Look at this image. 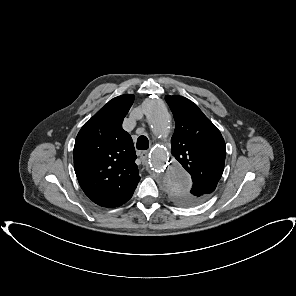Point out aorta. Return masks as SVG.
<instances>
[{
  "label": "aorta",
  "instance_id": "aorta-1",
  "mask_svg": "<svg viewBox=\"0 0 296 296\" xmlns=\"http://www.w3.org/2000/svg\"><path fill=\"white\" fill-rule=\"evenodd\" d=\"M143 113L156 135L168 133L171 116L165 104L159 99H147L143 103ZM150 164L160 186L167 192L188 191L191 179L174 157L173 148L166 142H155L149 150Z\"/></svg>",
  "mask_w": 296,
  "mask_h": 296
}]
</instances>
